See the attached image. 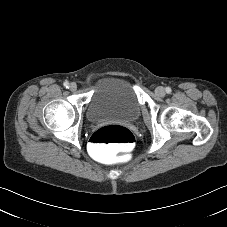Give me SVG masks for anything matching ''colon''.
I'll return each instance as SVG.
<instances>
[{
	"instance_id": "colon-1",
	"label": "colon",
	"mask_w": 227,
	"mask_h": 227,
	"mask_svg": "<svg viewBox=\"0 0 227 227\" xmlns=\"http://www.w3.org/2000/svg\"><path fill=\"white\" fill-rule=\"evenodd\" d=\"M135 145L133 133L125 126L109 125L97 130L90 138V151L103 162L118 159Z\"/></svg>"
}]
</instances>
